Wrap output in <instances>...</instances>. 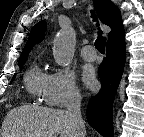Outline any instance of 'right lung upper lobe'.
<instances>
[{
    "label": "right lung upper lobe",
    "instance_id": "obj_1",
    "mask_svg": "<svg viewBox=\"0 0 144 137\" xmlns=\"http://www.w3.org/2000/svg\"><path fill=\"white\" fill-rule=\"evenodd\" d=\"M93 2L101 22L112 28V31L108 34L107 45L123 40L124 29L120 10L111 0H93ZM46 28V22L40 21L31 29L29 39L21 53L19 62H26L27 55L34 44L44 39Z\"/></svg>",
    "mask_w": 144,
    "mask_h": 137
}]
</instances>
